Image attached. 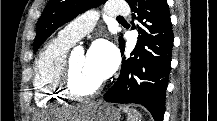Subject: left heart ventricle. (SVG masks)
Returning a JSON list of instances; mask_svg holds the SVG:
<instances>
[{
	"label": "left heart ventricle",
	"instance_id": "1",
	"mask_svg": "<svg viewBox=\"0 0 217 121\" xmlns=\"http://www.w3.org/2000/svg\"><path fill=\"white\" fill-rule=\"evenodd\" d=\"M72 77L75 87L83 92L94 89L102 81L84 54H77L72 57Z\"/></svg>",
	"mask_w": 217,
	"mask_h": 121
}]
</instances>
